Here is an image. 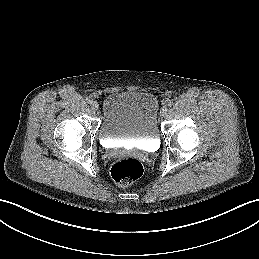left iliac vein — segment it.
I'll use <instances>...</instances> for the list:
<instances>
[{"label":"left iliac vein","mask_w":259,"mask_h":259,"mask_svg":"<svg viewBox=\"0 0 259 259\" xmlns=\"http://www.w3.org/2000/svg\"><path fill=\"white\" fill-rule=\"evenodd\" d=\"M168 112V108L166 106L161 108L160 114L161 116H166Z\"/></svg>","instance_id":"1"}]
</instances>
